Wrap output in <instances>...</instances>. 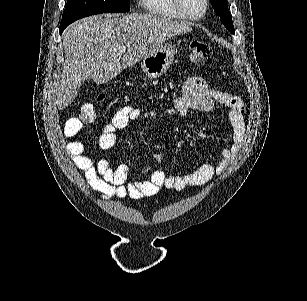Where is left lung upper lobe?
I'll list each match as a JSON object with an SVG mask.
<instances>
[{
    "mask_svg": "<svg viewBox=\"0 0 307 301\" xmlns=\"http://www.w3.org/2000/svg\"><path fill=\"white\" fill-rule=\"evenodd\" d=\"M210 2L215 13L220 16L221 22L232 34H234L232 16L228 10L227 0H210Z\"/></svg>",
    "mask_w": 307,
    "mask_h": 301,
    "instance_id": "obj_1",
    "label": "left lung upper lobe"
}]
</instances>
